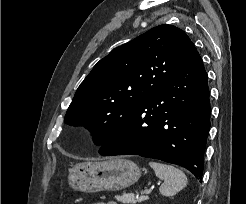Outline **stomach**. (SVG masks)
<instances>
[{
    "instance_id": "obj_1",
    "label": "stomach",
    "mask_w": 246,
    "mask_h": 204,
    "mask_svg": "<svg viewBox=\"0 0 246 204\" xmlns=\"http://www.w3.org/2000/svg\"><path fill=\"white\" fill-rule=\"evenodd\" d=\"M140 167L131 160L114 158L100 162L77 163L69 170V185L78 191L94 193L117 191L136 183Z\"/></svg>"
}]
</instances>
